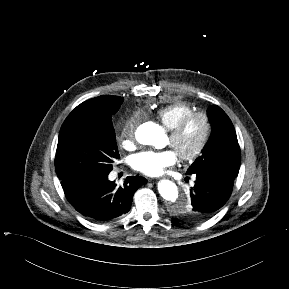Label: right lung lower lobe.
I'll use <instances>...</instances> for the list:
<instances>
[{
  "label": "right lung lower lobe",
  "mask_w": 289,
  "mask_h": 289,
  "mask_svg": "<svg viewBox=\"0 0 289 289\" xmlns=\"http://www.w3.org/2000/svg\"><path fill=\"white\" fill-rule=\"evenodd\" d=\"M146 182L141 176H129L124 186L116 187L114 181L108 180V174L61 180L70 204L95 222L110 221L126 214L131 208L134 193Z\"/></svg>",
  "instance_id": "right-lung-lower-lobe-1"
}]
</instances>
